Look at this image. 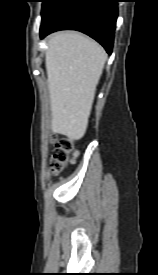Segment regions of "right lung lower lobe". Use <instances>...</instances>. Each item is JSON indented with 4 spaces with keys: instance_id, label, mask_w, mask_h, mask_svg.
<instances>
[{
    "instance_id": "98d812e1",
    "label": "right lung lower lobe",
    "mask_w": 158,
    "mask_h": 275,
    "mask_svg": "<svg viewBox=\"0 0 158 275\" xmlns=\"http://www.w3.org/2000/svg\"><path fill=\"white\" fill-rule=\"evenodd\" d=\"M118 0H58L42 18L40 36L64 29L78 30L98 41L111 54Z\"/></svg>"
}]
</instances>
